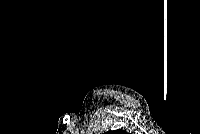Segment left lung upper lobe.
Here are the masks:
<instances>
[{"mask_svg": "<svg viewBox=\"0 0 200 134\" xmlns=\"http://www.w3.org/2000/svg\"><path fill=\"white\" fill-rule=\"evenodd\" d=\"M106 134H127V133L121 130H114V131H108L106 132Z\"/></svg>", "mask_w": 200, "mask_h": 134, "instance_id": "1", "label": "left lung upper lobe"}]
</instances>
